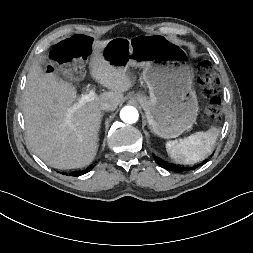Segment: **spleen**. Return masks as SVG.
I'll return each mask as SVG.
<instances>
[{"label": "spleen", "mask_w": 253, "mask_h": 253, "mask_svg": "<svg viewBox=\"0 0 253 253\" xmlns=\"http://www.w3.org/2000/svg\"><path fill=\"white\" fill-rule=\"evenodd\" d=\"M219 135L217 128L206 132H196L183 140H172L166 143V150L171 159L179 164H194L203 161L213 151Z\"/></svg>", "instance_id": "1"}]
</instances>
